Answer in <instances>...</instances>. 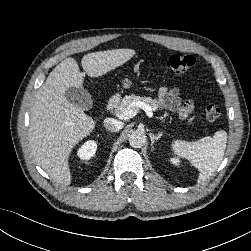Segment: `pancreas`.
I'll use <instances>...</instances> for the list:
<instances>
[{"mask_svg": "<svg viewBox=\"0 0 251 251\" xmlns=\"http://www.w3.org/2000/svg\"><path fill=\"white\" fill-rule=\"evenodd\" d=\"M137 101H142L150 104L154 110H157L159 108V101L157 99H152L151 97L147 96L140 97L132 94V95H126L122 98L121 103L115 109L116 114L122 113L127 109L129 104Z\"/></svg>", "mask_w": 251, "mask_h": 251, "instance_id": "cf45deb5", "label": "pancreas"}]
</instances>
